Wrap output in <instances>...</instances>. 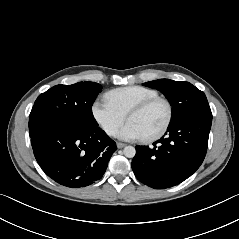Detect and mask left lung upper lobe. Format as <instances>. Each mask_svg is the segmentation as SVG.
<instances>
[{
  "label": "left lung upper lobe",
  "mask_w": 239,
  "mask_h": 239,
  "mask_svg": "<svg viewBox=\"0 0 239 239\" xmlns=\"http://www.w3.org/2000/svg\"><path fill=\"white\" fill-rule=\"evenodd\" d=\"M162 92L172 105L170 123L195 114H211L204 92L189 82L159 79L143 84Z\"/></svg>",
  "instance_id": "left-lung-upper-lobe-1"
}]
</instances>
